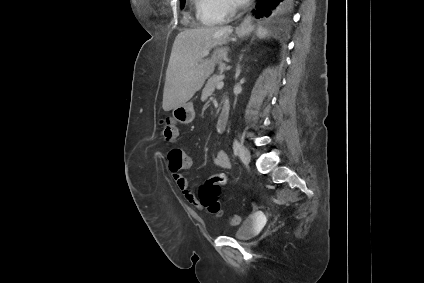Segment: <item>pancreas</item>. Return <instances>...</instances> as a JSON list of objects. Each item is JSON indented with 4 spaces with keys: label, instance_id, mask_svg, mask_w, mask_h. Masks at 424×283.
Returning a JSON list of instances; mask_svg holds the SVG:
<instances>
[{
    "label": "pancreas",
    "instance_id": "pancreas-1",
    "mask_svg": "<svg viewBox=\"0 0 424 283\" xmlns=\"http://www.w3.org/2000/svg\"><path fill=\"white\" fill-rule=\"evenodd\" d=\"M219 81L220 78L218 75H214L208 80L207 84L205 85L202 91V100H206L209 96L213 94Z\"/></svg>",
    "mask_w": 424,
    "mask_h": 283
}]
</instances>
